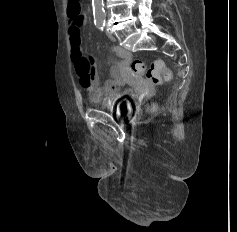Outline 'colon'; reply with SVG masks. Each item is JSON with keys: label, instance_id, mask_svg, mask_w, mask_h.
Segmentation results:
<instances>
[{"label": "colon", "instance_id": "5ec220e1", "mask_svg": "<svg viewBox=\"0 0 237 232\" xmlns=\"http://www.w3.org/2000/svg\"><path fill=\"white\" fill-rule=\"evenodd\" d=\"M68 13L72 18H79L82 16L83 10L80 0H69ZM131 69L135 74L142 76L155 84H160L169 78L166 66L160 60L154 61L147 67L141 60L135 59L131 63Z\"/></svg>", "mask_w": 237, "mask_h": 232}]
</instances>
